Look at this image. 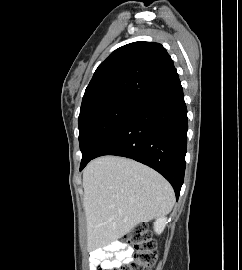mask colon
<instances>
[{"label": "colon", "mask_w": 242, "mask_h": 270, "mask_svg": "<svg viewBox=\"0 0 242 270\" xmlns=\"http://www.w3.org/2000/svg\"><path fill=\"white\" fill-rule=\"evenodd\" d=\"M121 243L130 245L133 249V256L129 262L121 264L117 270H151L157 261L156 243L150 232L143 226L138 225L127 233ZM94 270H101L96 265Z\"/></svg>", "instance_id": "1"}]
</instances>
